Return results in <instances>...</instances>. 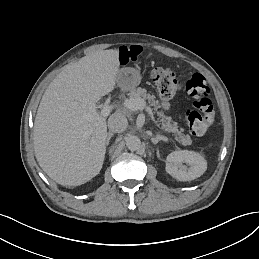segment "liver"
<instances>
[{"label": "liver", "mask_w": 259, "mask_h": 259, "mask_svg": "<svg viewBox=\"0 0 259 259\" xmlns=\"http://www.w3.org/2000/svg\"><path fill=\"white\" fill-rule=\"evenodd\" d=\"M119 72L118 50H96L66 65L42 96L34 151L40 167L57 183L82 185L102 170L107 120L95 103L115 89Z\"/></svg>", "instance_id": "6515ba94"}]
</instances>
